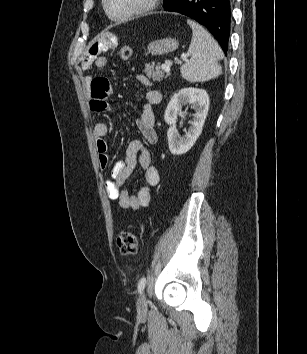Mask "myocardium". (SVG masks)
Returning a JSON list of instances; mask_svg holds the SVG:
<instances>
[{
    "label": "myocardium",
    "instance_id": "obj_1",
    "mask_svg": "<svg viewBox=\"0 0 307 354\" xmlns=\"http://www.w3.org/2000/svg\"><path fill=\"white\" fill-rule=\"evenodd\" d=\"M108 2H109V0H103V8H104L106 15L113 21L124 22V21L131 20L133 18H136L138 16H141L143 14H146V13L152 11L158 5L159 0H145L135 10L131 11L128 14L121 15V16H114L111 14V12L109 10Z\"/></svg>",
    "mask_w": 307,
    "mask_h": 354
}]
</instances>
